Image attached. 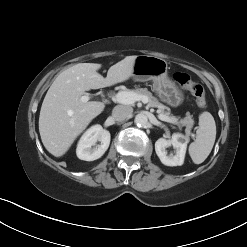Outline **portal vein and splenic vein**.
Masks as SVG:
<instances>
[{
    "instance_id": "portal-vein-and-splenic-vein-1",
    "label": "portal vein and splenic vein",
    "mask_w": 247,
    "mask_h": 247,
    "mask_svg": "<svg viewBox=\"0 0 247 247\" xmlns=\"http://www.w3.org/2000/svg\"><path fill=\"white\" fill-rule=\"evenodd\" d=\"M89 99H90V97L88 95H84L80 98L81 102H83V103L88 102ZM112 99L115 102L125 104V105H132L136 101H142L143 103L148 102L147 97L139 96L133 92H127V91L118 92ZM158 118L162 121L179 125V122L176 118L167 117V116H164L162 114H158Z\"/></svg>"
}]
</instances>
